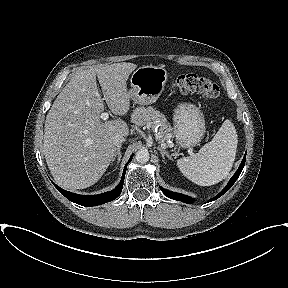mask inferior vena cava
Segmentation results:
<instances>
[{"label": "inferior vena cava", "mask_w": 288, "mask_h": 288, "mask_svg": "<svg viewBox=\"0 0 288 288\" xmlns=\"http://www.w3.org/2000/svg\"><path fill=\"white\" fill-rule=\"evenodd\" d=\"M125 141V138L123 136H120V135H116L114 137V143L119 146L122 142Z\"/></svg>", "instance_id": "602c4592"}]
</instances>
